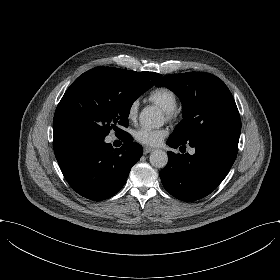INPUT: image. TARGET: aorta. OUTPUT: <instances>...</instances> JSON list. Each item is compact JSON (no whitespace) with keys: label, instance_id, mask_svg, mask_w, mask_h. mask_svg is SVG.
Returning a JSON list of instances; mask_svg holds the SVG:
<instances>
[{"label":"aorta","instance_id":"obj_1","mask_svg":"<svg viewBox=\"0 0 280 280\" xmlns=\"http://www.w3.org/2000/svg\"><path fill=\"white\" fill-rule=\"evenodd\" d=\"M139 122L147 130L161 127L163 118L160 109L156 106L145 107L139 115ZM149 159L151 165L156 168H164L168 163L167 153L160 149L154 150Z\"/></svg>","mask_w":280,"mask_h":280}]
</instances>
